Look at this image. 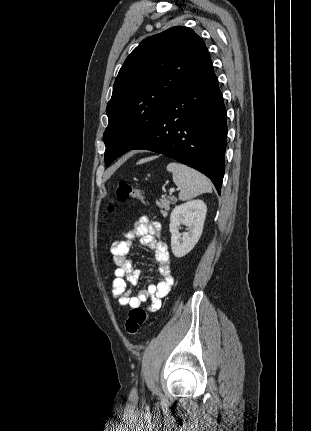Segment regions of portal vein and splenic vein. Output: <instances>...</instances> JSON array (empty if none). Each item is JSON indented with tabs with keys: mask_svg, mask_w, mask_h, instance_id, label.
<instances>
[{
	"mask_svg": "<svg viewBox=\"0 0 311 431\" xmlns=\"http://www.w3.org/2000/svg\"><path fill=\"white\" fill-rule=\"evenodd\" d=\"M169 192H170V196H172L173 192H175V188H170Z\"/></svg>",
	"mask_w": 311,
	"mask_h": 431,
	"instance_id": "1",
	"label": "portal vein and splenic vein"
}]
</instances>
